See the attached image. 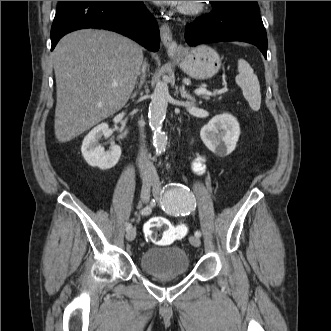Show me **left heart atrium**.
Wrapping results in <instances>:
<instances>
[{"label": "left heart atrium", "mask_w": 331, "mask_h": 331, "mask_svg": "<svg viewBox=\"0 0 331 331\" xmlns=\"http://www.w3.org/2000/svg\"><path fill=\"white\" fill-rule=\"evenodd\" d=\"M157 5H176L184 1H153Z\"/></svg>", "instance_id": "39dd6f15"}]
</instances>
